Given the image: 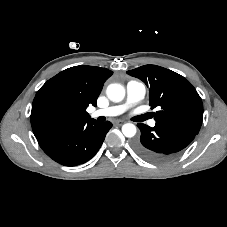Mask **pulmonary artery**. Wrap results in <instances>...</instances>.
<instances>
[{"label":"pulmonary artery","instance_id":"obj_1","mask_svg":"<svg viewBox=\"0 0 227 227\" xmlns=\"http://www.w3.org/2000/svg\"><path fill=\"white\" fill-rule=\"evenodd\" d=\"M126 93V99L123 103L104 109L94 110L93 112H91L90 116L92 118L114 117L124 113L125 111L139 103L145 97L146 87L143 83L132 80L127 83ZM150 125L154 126L155 121H151Z\"/></svg>","mask_w":227,"mask_h":227}]
</instances>
